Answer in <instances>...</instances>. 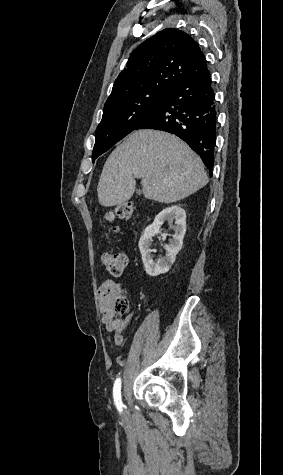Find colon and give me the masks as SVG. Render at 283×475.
<instances>
[{"mask_svg": "<svg viewBox=\"0 0 283 475\" xmlns=\"http://www.w3.org/2000/svg\"><path fill=\"white\" fill-rule=\"evenodd\" d=\"M135 209L131 203H123L116 206L112 211L106 214L108 220L122 219L129 220L134 216ZM101 261L112 277H120L126 266V254L123 251L103 252ZM109 305H114V316H125L130 310V301L125 291L119 290L116 298L107 300Z\"/></svg>", "mask_w": 283, "mask_h": 475, "instance_id": "obj_1", "label": "colon"}]
</instances>
